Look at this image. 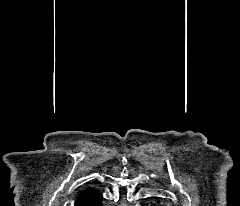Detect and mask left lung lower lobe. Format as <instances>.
<instances>
[{
	"instance_id": "0a47b994",
	"label": "left lung lower lobe",
	"mask_w": 240,
	"mask_h": 206,
	"mask_svg": "<svg viewBox=\"0 0 240 206\" xmlns=\"http://www.w3.org/2000/svg\"><path fill=\"white\" fill-rule=\"evenodd\" d=\"M152 199H157L156 197H152Z\"/></svg>"
}]
</instances>
